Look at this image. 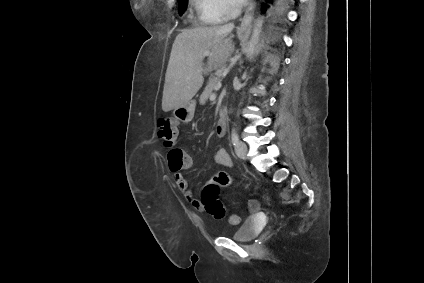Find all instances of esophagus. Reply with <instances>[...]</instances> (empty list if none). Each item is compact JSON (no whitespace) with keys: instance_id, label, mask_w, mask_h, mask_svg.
Listing matches in <instances>:
<instances>
[{"instance_id":"1","label":"esophagus","mask_w":424,"mask_h":283,"mask_svg":"<svg viewBox=\"0 0 424 283\" xmlns=\"http://www.w3.org/2000/svg\"><path fill=\"white\" fill-rule=\"evenodd\" d=\"M255 6H256L255 1H253L249 4V6H248V8H247V10H246V12L243 16L242 22L239 26V30L243 31V30L250 29L251 23H252V20H253Z\"/></svg>"}]
</instances>
